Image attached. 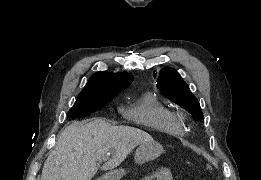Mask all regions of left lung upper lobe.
Listing matches in <instances>:
<instances>
[{
  "mask_svg": "<svg viewBox=\"0 0 261 180\" xmlns=\"http://www.w3.org/2000/svg\"><path fill=\"white\" fill-rule=\"evenodd\" d=\"M157 88L164 96L179 104L190 114L203 119L198 100L192 95L188 85L174 69L165 68L160 71V75L157 79Z\"/></svg>",
  "mask_w": 261,
  "mask_h": 180,
  "instance_id": "obj_1",
  "label": "left lung upper lobe"
}]
</instances>
